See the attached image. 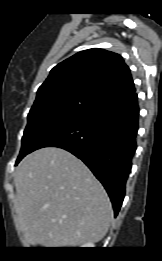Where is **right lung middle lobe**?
I'll list each match as a JSON object with an SVG mask.
<instances>
[{
    "instance_id": "1",
    "label": "right lung middle lobe",
    "mask_w": 162,
    "mask_h": 261,
    "mask_svg": "<svg viewBox=\"0 0 162 261\" xmlns=\"http://www.w3.org/2000/svg\"><path fill=\"white\" fill-rule=\"evenodd\" d=\"M100 104L96 99L80 92L36 99L28 114L18 159L34 151L40 141L55 129Z\"/></svg>"
}]
</instances>
